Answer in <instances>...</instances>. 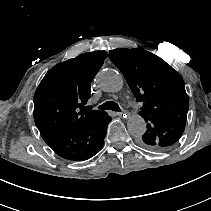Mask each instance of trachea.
Segmentation results:
<instances>
[{
  "label": "trachea",
  "mask_w": 211,
  "mask_h": 211,
  "mask_svg": "<svg viewBox=\"0 0 211 211\" xmlns=\"http://www.w3.org/2000/svg\"><path fill=\"white\" fill-rule=\"evenodd\" d=\"M98 109H102V110H112V111H116V112H121V109L119 107V105L114 102V101H106L105 103H103L102 105H100L98 107Z\"/></svg>",
  "instance_id": "3493384b"
}]
</instances>
